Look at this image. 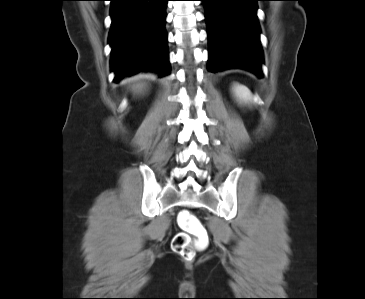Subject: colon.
Masks as SVG:
<instances>
[{
	"instance_id": "5ec220e1",
	"label": "colon",
	"mask_w": 365,
	"mask_h": 299,
	"mask_svg": "<svg viewBox=\"0 0 365 299\" xmlns=\"http://www.w3.org/2000/svg\"><path fill=\"white\" fill-rule=\"evenodd\" d=\"M177 223L181 232L172 239V249L177 254L192 259L196 250L207 246L209 235L201 221L187 210L178 214Z\"/></svg>"
}]
</instances>
